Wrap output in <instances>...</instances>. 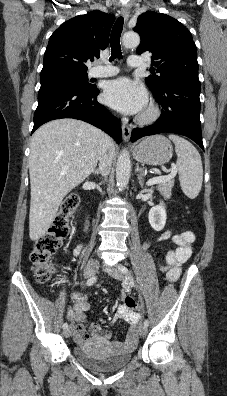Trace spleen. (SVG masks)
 Here are the masks:
<instances>
[{
	"label": "spleen",
	"mask_w": 227,
	"mask_h": 396,
	"mask_svg": "<svg viewBox=\"0 0 227 396\" xmlns=\"http://www.w3.org/2000/svg\"><path fill=\"white\" fill-rule=\"evenodd\" d=\"M169 139L175 144L176 167L181 189L187 197L194 199L198 196L203 181L201 156L186 139L177 135H169Z\"/></svg>",
	"instance_id": "spleen-1"
}]
</instances>
